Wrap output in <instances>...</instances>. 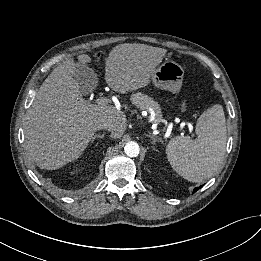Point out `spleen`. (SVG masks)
<instances>
[{
  "label": "spleen",
  "instance_id": "obj_1",
  "mask_svg": "<svg viewBox=\"0 0 261 261\" xmlns=\"http://www.w3.org/2000/svg\"><path fill=\"white\" fill-rule=\"evenodd\" d=\"M197 138L176 136L166 147L172 168L190 182L209 179L224 160L227 130L221 105L201 114L196 124Z\"/></svg>",
  "mask_w": 261,
  "mask_h": 261
}]
</instances>
